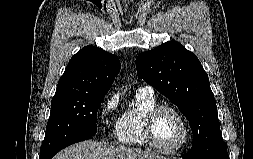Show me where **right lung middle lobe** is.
<instances>
[{
  "label": "right lung middle lobe",
  "instance_id": "dd1d6c3e",
  "mask_svg": "<svg viewBox=\"0 0 253 159\" xmlns=\"http://www.w3.org/2000/svg\"><path fill=\"white\" fill-rule=\"evenodd\" d=\"M104 96L78 94L53 98L40 159L48 158L73 141L96 134V114Z\"/></svg>",
  "mask_w": 253,
  "mask_h": 159
}]
</instances>
